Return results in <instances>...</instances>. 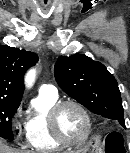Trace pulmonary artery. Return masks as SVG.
Masks as SVG:
<instances>
[{
  "mask_svg": "<svg viewBox=\"0 0 130 153\" xmlns=\"http://www.w3.org/2000/svg\"><path fill=\"white\" fill-rule=\"evenodd\" d=\"M40 94L57 95V89L52 84H43L39 88Z\"/></svg>",
  "mask_w": 130,
  "mask_h": 153,
  "instance_id": "e3ab8cb5",
  "label": "pulmonary artery"
}]
</instances>
